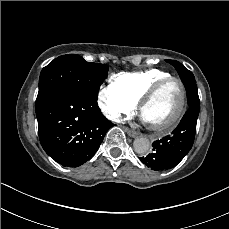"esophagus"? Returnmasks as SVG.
I'll use <instances>...</instances> for the list:
<instances>
[{"label":"esophagus","mask_w":229,"mask_h":229,"mask_svg":"<svg viewBox=\"0 0 229 229\" xmlns=\"http://www.w3.org/2000/svg\"><path fill=\"white\" fill-rule=\"evenodd\" d=\"M124 131L130 136V137H136L138 135V133L132 129H130L129 127L127 126H124L123 127Z\"/></svg>","instance_id":"obj_1"}]
</instances>
